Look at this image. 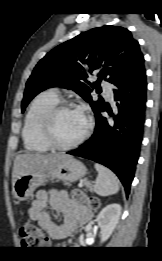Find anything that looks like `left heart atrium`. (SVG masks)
Listing matches in <instances>:
<instances>
[{
  "label": "left heart atrium",
  "instance_id": "left-heart-atrium-1",
  "mask_svg": "<svg viewBox=\"0 0 162 261\" xmlns=\"http://www.w3.org/2000/svg\"><path fill=\"white\" fill-rule=\"evenodd\" d=\"M79 112L85 117V119H86V116H85V114L83 113V111H81V110H79Z\"/></svg>",
  "mask_w": 162,
  "mask_h": 261
}]
</instances>
